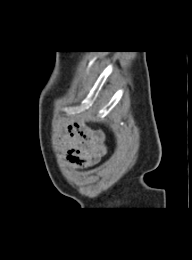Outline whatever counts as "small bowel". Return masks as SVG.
Masks as SVG:
<instances>
[{
    "mask_svg": "<svg viewBox=\"0 0 192 260\" xmlns=\"http://www.w3.org/2000/svg\"><path fill=\"white\" fill-rule=\"evenodd\" d=\"M62 149L71 168L85 169L106 153L104 135L82 123H72L66 128Z\"/></svg>",
    "mask_w": 192,
    "mask_h": 260,
    "instance_id": "small-bowel-1",
    "label": "small bowel"
}]
</instances>
